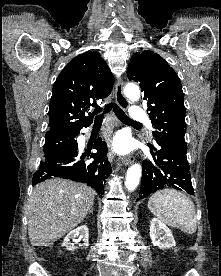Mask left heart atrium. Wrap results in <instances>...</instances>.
<instances>
[{"mask_svg": "<svg viewBox=\"0 0 221 276\" xmlns=\"http://www.w3.org/2000/svg\"><path fill=\"white\" fill-rule=\"evenodd\" d=\"M114 149L119 153H127L130 150L129 141L123 136L117 137L114 141Z\"/></svg>", "mask_w": 221, "mask_h": 276, "instance_id": "1", "label": "left heart atrium"}]
</instances>
